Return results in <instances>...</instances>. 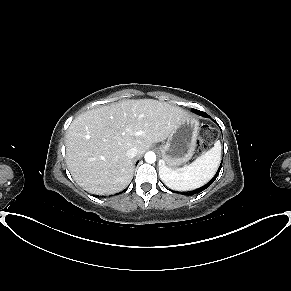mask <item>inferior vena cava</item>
<instances>
[{
  "label": "inferior vena cava",
  "mask_w": 291,
  "mask_h": 291,
  "mask_svg": "<svg viewBox=\"0 0 291 291\" xmlns=\"http://www.w3.org/2000/svg\"><path fill=\"white\" fill-rule=\"evenodd\" d=\"M137 152H138L137 148L132 147V148H130V149L127 150L126 156L129 159H133L137 155Z\"/></svg>",
  "instance_id": "602c4592"
}]
</instances>
